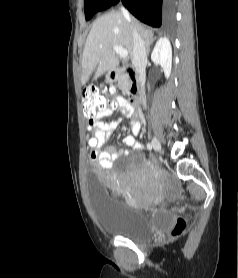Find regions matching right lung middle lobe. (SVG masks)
I'll return each instance as SVG.
<instances>
[{
  "label": "right lung middle lobe",
  "instance_id": "right-lung-middle-lobe-1",
  "mask_svg": "<svg viewBox=\"0 0 238 278\" xmlns=\"http://www.w3.org/2000/svg\"><path fill=\"white\" fill-rule=\"evenodd\" d=\"M106 0H85L84 10H85V18L86 20H90L92 16L98 12L102 4Z\"/></svg>",
  "mask_w": 238,
  "mask_h": 278
}]
</instances>
